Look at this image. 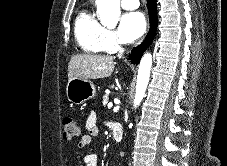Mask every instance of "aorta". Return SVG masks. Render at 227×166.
<instances>
[{
	"instance_id": "1",
	"label": "aorta",
	"mask_w": 227,
	"mask_h": 166,
	"mask_svg": "<svg viewBox=\"0 0 227 166\" xmlns=\"http://www.w3.org/2000/svg\"><path fill=\"white\" fill-rule=\"evenodd\" d=\"M97 14L103 25L114 27L120 16V0H96ZM152 67V55L145 53L138 69L134 106L137 107L142 101L149 82Z\"/></svg>"
}]
</instances>
